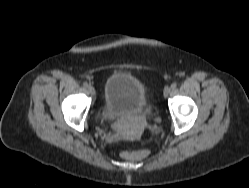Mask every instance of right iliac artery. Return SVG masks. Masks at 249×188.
<instances>
[{"label": "right iliac artery", "mask_w": 249, "mask_h": 188, "mask_svg": "<svg viewBox=\"0 0 249 188\" xmlns=\"http://www.w3.org/2000/svg\"><path fill=\"white\" fill-rule=\"evenodd\" d=\"M83 86H84V87H88L89 85H88L87 82H84V83H83Z\"/></svg>", "instance_id": "1"}]
</instances>
